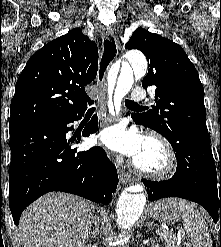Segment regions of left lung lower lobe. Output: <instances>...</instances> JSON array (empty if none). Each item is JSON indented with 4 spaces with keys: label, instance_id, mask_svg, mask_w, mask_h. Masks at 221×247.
<instances>
[{
    "label": "left lung lower lobe",
    "instance_id": "left-lung-lower-lobe-1",
    "mask_svg": "<svg viewBox=\"0 0 221 247\" xmlns=\"http://www.w3.org/2000/svg\"><path fill=\"white\" fill-rule=\"evenodd\" d=\"M133 119L138 121L137 116ZM139 122V121H138ZM178 161L176 173L169 180H142L147 187L148 199L180 197L202 205L221 223V169L220 179L210 147V135L192 138L186 146L174 149Z\"/></svg>",
    "mask_w": 221,
    "mask_h": 247
}]
</instances>
